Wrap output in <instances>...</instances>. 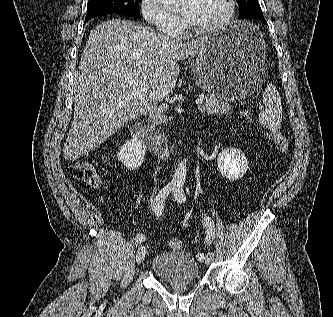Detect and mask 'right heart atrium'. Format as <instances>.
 <instances>
[{"label": "right heart atrium", "mask_w": 333, "mask_h": 317, "mask_svg": "<svg viewBox=\"0 0 333 317\" xmlns=\"http://www.w3.org/2000/svg\"><path fill=\"white\" fill-rule=\"evenodd\" d=\"M140 11L146 22L162 33L177 35L182 29L181 22L166 11L159 0H141Z\"/></svg>", "instance_id": "d8ad5b80"}]
</instances>
